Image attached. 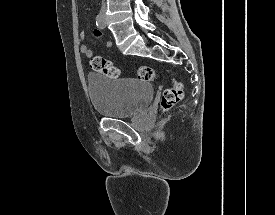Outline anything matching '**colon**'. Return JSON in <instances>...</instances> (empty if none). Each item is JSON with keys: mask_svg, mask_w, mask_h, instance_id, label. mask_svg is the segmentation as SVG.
<instances>
[{"mask_svg": "<svg viewBox=\"0 0 275 215\" xmlns=\"http://www.w3.org/2000/svg\"><path fill=\"white\" fill-rule=\"evenodd\" d=\"M92 70L109 78H116L119 74V69L114 66L109 60L101 56H94L90 60ZM137 77L146 82H153L158 79L156 69L150 66H141L136 71ZM184 89L181 82L175 81L172 86L165 89L161 96L160 106L162 110L167 111L174 107L183 98Z\"/></svg>", "mask_w": 275, "mask_h": 215, "instance_id": "colon-1", "label": "colon"}]
</instances>
